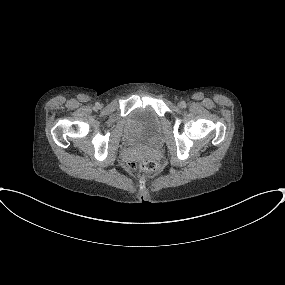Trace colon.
Here are the masks:
<instances>
[{
	"mask_svg": "<svg viewBox=\"0 0 285 285\" xmlns=\"http://www.w3.org/2000/svg\"><path fill=\"white\" fill-rule=\"evenodd\" d=\"M160 165L154 158H147L143 161H131L129 162V168L140 169L144 172L152 173L158 171Z\"/></svg>",
	"mask_w": 285,
	"mask_h": 285,
	"instance_id": "1",
	"label": "colon"
}]
</instances>
